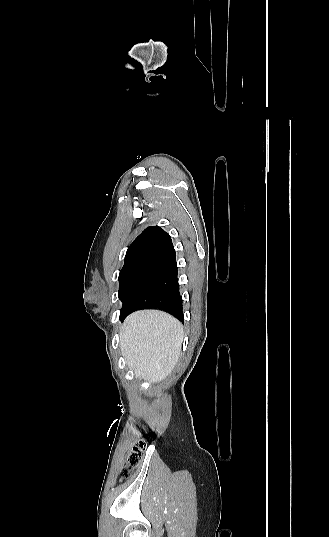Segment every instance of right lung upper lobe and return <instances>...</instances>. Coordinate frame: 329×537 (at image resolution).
Segmentation results:
<instances>
[{
  "mask_svg": "<svg viewBox=\"0 0 329 537\" xmlns=\"http://www.w3.org/2000/svg\"><path fill=\"white\" fill-rule=\"evenodd\" d=\"M168 233L158 226L147 227L128 247L125 264L151 263L173 250Z\"/></svg>",
  "mask_w": 329,
  "mask_h": 537,
  "instance_id": "cb5924a9",
  "label": "right lung upper lobe"
}]
</instances>
